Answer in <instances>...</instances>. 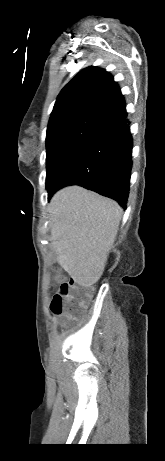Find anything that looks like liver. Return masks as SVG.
Here are the masks:
<instances>
[{
  "instance_id": "6515ba94",
  "label": "liver",
  "mask_w": 165,
  "mask_h": 461,
  "mask_svg": "<svg viewBox=\"0 0 165 461\" xmlns=\"http://www.w3.org/2000/svg\"><path fill=\"white\" fill-rule=\"evenodd\" d=\"M49 213L57 262L78 284H95L115 242L122 208L95 192L69 186L52 197Z\"/></svg>"
}]
</instances>
